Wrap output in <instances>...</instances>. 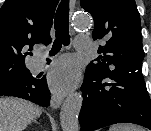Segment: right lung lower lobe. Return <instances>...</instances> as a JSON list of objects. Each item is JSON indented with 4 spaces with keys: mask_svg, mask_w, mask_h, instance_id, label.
<instances>
[{
    "mask_svg": "<svg viewBox=\"0 0 151 131\" xmlns=\"http://www.w3.org/2000/svg\"><path fill=\"white\" fill-rule=\"evenodd\" d=\"M15 96L30 100L42 107L50 104V92L45 78H35L31 74L17 83L0 88V96Z\"/></svg>",
    "mask_w": 151,
    "mask_h": 131,
    "instance_id": "right-lung-lower-lobe-1",
    "label": "right lung lower lobe"
}]
</instances>
